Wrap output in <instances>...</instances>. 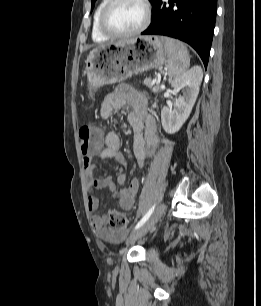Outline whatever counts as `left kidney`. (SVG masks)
I'll use <instances>...</instances> for the list:
<instances>
[{"label": "left kidney", "mask_w": 261, "mask_h": 306, "mask_svg": "<svg viewBox=\"0 0 261 306\" xmlns=\"http://www.w3.org/2000/svg\"><path fill=\"white\" fill-rule=\"evenodd\" d=\"M202 79V68L194 66L171 82L175 95L184 87L185 90L183 95H178L175 99L173 110L169 107H163L161 110L162 126L166 133L178 132L188 119L197 99Z\"/></svg>", "instance_id": "5707ae66"}]
</instances>
